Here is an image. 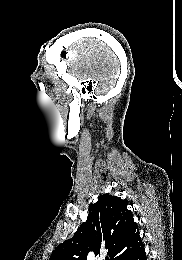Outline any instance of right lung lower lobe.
Returning a JSON list of instances; mask_svg holds the SVG:
<instances>
[{
  "mask_svg": "<svg viewBox=\"0 0 182 260\" xmlns=\"http://www.w3.org/2000/svg\"><path fill=\"white\" fill-rule=\"evenodd\" d=\"M117 260H146V253L142 241L140 240L130 249L123 252Z\"/></svg>",
  "mask_w": 182,
  "mask_h": 260,
  "instance_id": "obj_1",
  "label": "right lung lower lobe"
}]
</instances>
